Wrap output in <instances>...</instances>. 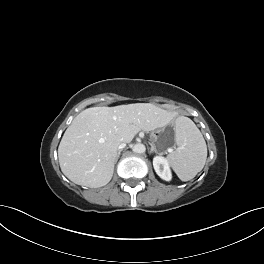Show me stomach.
<instances>
[{
	"label": "stomach",
	"mask_w": 264,
	"mask_h": 264,
	"mask_svg": "<svg viewBox=\"0 0 264 264\" xmlns=\"http://www.w3.org/2000/svg\"><path fill=\"white\" fill-rule=\"evenodd\" d=\"M151 139L154 142V148L158 152H167L171 149L175 131L171 127H164L161 130H156L151 133Z\"/></svg>",
	"instance_id": "0dacf381"
}]
</instances>
